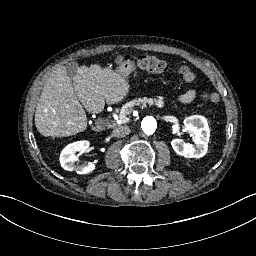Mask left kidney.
Wrapping results in <instances>:
<instances>
[{
	"instance_id": "1",
	"label": "left kidney",
	"mask_w": 256,
	"mask_h": 256,
	"mask_svg": "<svg viewBox=\"0 0 256 256\" xmlns=\"http://www.w3.org/2000/svg\"><path fill=\"white\" fill-rule=\"evenodd\" d=\"M184 126L187 131L193 134L195 145L184 142L183 139H173L171 141L174 151L186 158H201L208 150L210 129L207 119L204 116L193 115L184 119Z\"/></svg>"
}]
</instances>
